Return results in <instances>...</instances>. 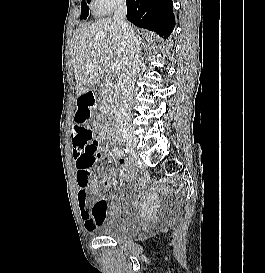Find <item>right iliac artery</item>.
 Here are the masks:
<instances>
[{
  "label": "right iliac artery",
  "mask_w": 265,
  "mask_h": 273,
  "mask_svg": "<svg viewBox=\"0 0 265 273\" xmlns=\"http://www.w3.org/2000/svg\"><path fill=\"white\" fill-rule=\"evenodd\" d=\"M127 151H128L127 149L120 148V147H115L114 148V153L118 157L124 156L127 153Z\"/></svg>",
  "instance_id": "1"
}]
</instances>
